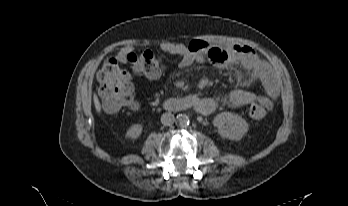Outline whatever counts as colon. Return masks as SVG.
<instances>
[{"label": "colon", "instance_id": "5ec220e1", "mask_svg": "<svg viewBox=\"0 0 348 206\" xmlns=\"http://www.w3.org/2000/svg\"><path fill=\"white\" fill-rule=\"evenodd\" d=\"M127 62L133 65L135 72L148 77H157L162 72L160 58L151 50L139 53L126 54ZM97 79L100 85V96L103 108L107 112H117L124 107H135L132 97L130 74L120 66L116 57H108L98 72ZM272 109L269 96L262 95L250 107L249 114L253 119H262Z\"/></svg>", "mask_w": 348, "mask_h": 206}]
</instances>
